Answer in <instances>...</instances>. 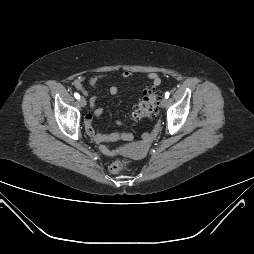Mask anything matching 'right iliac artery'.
<instances>
[{"instance_id": "obj_1", "label": "right iliac artery", "mask_w": 254, "mask_h": 254, "mask_svg": "<svg viewBox=\"0 0 254 254\" xmlns=\"http://www.w3.org/2000/svg\"><path fill=\"white\" fill-rule=\"evenodd\" d=\"M74 97H75L76 99H80V95H79L78 93H74Z\"/></svg>"}]
</instances>
